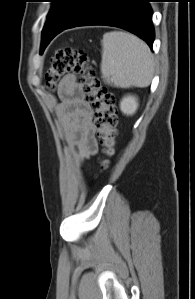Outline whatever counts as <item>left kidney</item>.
I'll return each instance as SVG.
<instances>
[{"mask_svg":"<svg viewBox=\"0 0 195 299\" xmlns=\"http://www.w3.org/2000/svg\"><path fill=\"white\" fill-rule=\"evenodd\" d=\"M138 108L136 97L128 95L120 102V109L126 115H133Z\"/></svg>","mask_w":195,"mask_h":299,"instance_id":"obj_1","label":"left kidney"}]
</instances>
